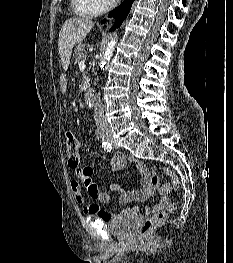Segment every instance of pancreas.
<instances>
[{
    "label": "pancreas",
    "mask_w": 233,
    "mask_h": 263,
    "mask_svg": "<svg viewBox=\"0 0 233 263\" xmlns=\"http://www.w3.org/2000/svg\"><path fill=\"white\" fill-rule=\"evenodd\" d=\"M75 63H79L80 61H84L86 59V51L83 47H76L74 52Z\"/></svg>",
    "instance_id": "obj_1"
}]
</instances>
